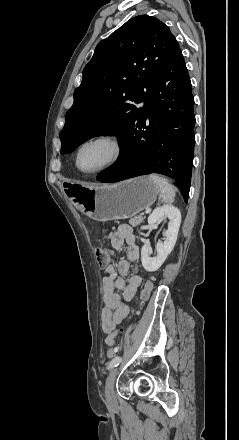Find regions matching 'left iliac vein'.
Masks as SVG:
<instances>
[{
    "instance_id": "4c4485c4",
    "label": "left iliac vein",
    "mask_w": 239,
    "mask_h": 440,
    "mask_svg": "<svg viewBox=\"0 0 239 440\" xmlns=\"http://www.w3.org/2000/svg\"><path fill=\"white\" fill-rule=\"evenodd\" d=\"M116 375H117V369L113 368L107 379H106V385H105V397H106V401L108 403L109 406L111 407H115L116 406V398L114 395V383L116 380Z\"/></svg>"
}]
</instances>
